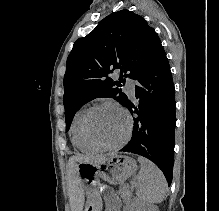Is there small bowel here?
<instances>
[{
    "label": "small bowel",
    "instance_id": "1",
    "mask_svg": "<svg viewBox=\"0 0 219 211\" xmlns=\"http://www.w3.org/2000/svg\"><path fill=\"white\" fill-rule=\"evenodd\" d=\"M105 201H106V211H119L120 210L119 199L111 190L106 191Z\"/></svg>",
    "mask_w": 219,
    "mask_h": 211
}]
</instances>
